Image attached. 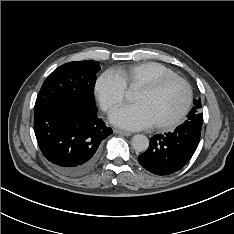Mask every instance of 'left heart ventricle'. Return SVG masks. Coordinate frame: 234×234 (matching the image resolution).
Masks as SVG:
<instances>
[{"label": "left heart ventricle", "instance_id": "left-heart-ventricle-1", "mask_svg": "<svg viewBox=\"0 0 234 234\" xmlns=\"http://www.w3.org/2000/svg\"><path fill=\"white\" fill-rule=\"evenodd\" d=\"M185 98L184 87L172 82L153 94L136 91L133 102L145 109L152 124H157L173 118L183 107Z\"/></svg>", "mask_w": 234, "mask_h": 234}]
</instances>
